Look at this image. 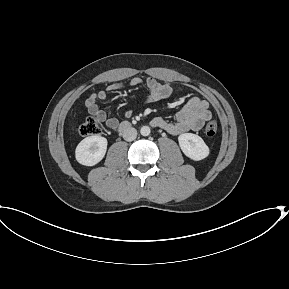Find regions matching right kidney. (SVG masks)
<instances>
[{"label": "right kidney", "instance_id": "1", "mask_svg": "<svg viewBox=\"0 0 289 289\" xmlns=\"http://www.w3.org/2000/svg\"><path fill=\"white\" fill-rule=\"evenodd\" d=\"M107 143V139L101 136L86 137L76 148V160L85 166L96 165L104 158Z\"/></svg>", "mask_w": 289, "mask_h": 289}]
</instances>
